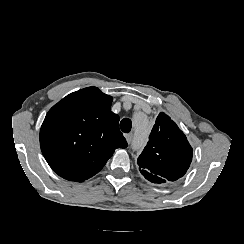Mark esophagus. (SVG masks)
<instances>
[{
	"label": "esophagus",
	"mask_w": 244,
	"mask_h": 244,
	"mask_svg": "<svg viewBox=\"0 0 244 244\" xmlns=\"http://www.w3.org/2000/svg\"><path fill=\"white\" fill-rule=\"evenodd\" d=\"M125 138H126L128 143H131L132 139H133V133L131 132V133L126 134Z\"/></svg>",
	"instance_id": "34e87169"
}]
</instances>
